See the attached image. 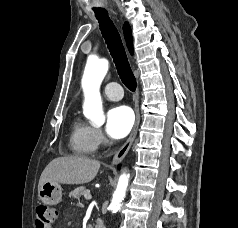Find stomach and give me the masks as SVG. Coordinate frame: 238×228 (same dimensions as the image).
I'll return each instance as SVG.
<instances>
[{
  "label": "stomach",
  "instance_id": "0dacf381",
  "mask_svg": "<svg viewBox=\"0 0 238 228\" xmlns=\"http://www.w3.org/2000/svg\"><path fill=\"white\" fill-rule=\"evenodd\" d=\"M39 199L47 205H56L62 199V187L59 183L45 182L38 191Z\"/></svg>",
  "mask_w": 238,
  "mask_h": 228
}]
</instances>
